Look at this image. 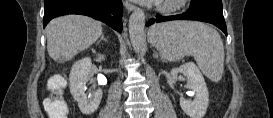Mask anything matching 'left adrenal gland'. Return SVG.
Segmentation results:
<instances>
[{
  "label": "left adrenal gland",
  "mask_w": 273,
  "mask_h": 118,
  "mask_svg": "<svg viewBox=\"0 0 273 118\" xmlns=\"http://www.w3.org/2000/svg\"><path fill=\"white\" fill-rule=\"evenodd\" d=\"M154 56H155V58H158V53L155 52Z\"/></svg>",
  "instance_id": "a2214340"
}]
</instances>
